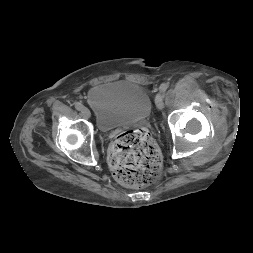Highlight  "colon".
Wrapping results in <instances>:
<instances>
[{"label": "colon", "mask_w": 253, "mask_h": 253, "mask_svg": "<svg viewBox=\"0 0 253 253\" xmlns=\"http://www.w3.org/2000/svg\"><path fill=\"white\" fill-rule=\"evenodd\" d=\"M109 162L115 178L129 187H143L154 182L161 171V154L143 129L127 130L114 140Z\"/></svg>", "instance_id": "1"}]
</instances>
